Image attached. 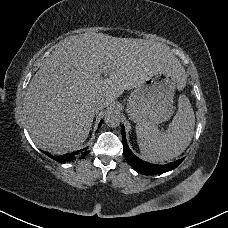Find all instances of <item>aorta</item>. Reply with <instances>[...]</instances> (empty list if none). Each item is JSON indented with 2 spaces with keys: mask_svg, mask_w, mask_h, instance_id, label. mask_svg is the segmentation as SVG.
<instances>
[{
  "mask_svg": "<svg viewBox=\"0 0 228 228\" xmlns=\"http://www.w3.org/2000/svg\"><path fill=\"white\" fill-rule=\"evenodd\" d=\"M120 122V116L116 111H109L105 116V123L109 127H117Z\"/></svg>",
  "mask_w": 228,
  "mask_h": 228,
  "instance_id": "1",
  "label": "aorta"
}]
</instances>
